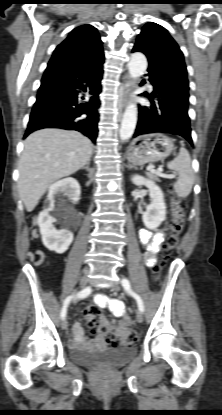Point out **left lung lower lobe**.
<instances>
[{
    "mask_svg": "<svg viewBox=\"0 0 222 415\" xmlns=\"http://www.w3.org/2000/svg\"><path fill=\"white\" fill-rule=\"evenodd\" d=\"M133 52L140 51L134 47ZM141 52V51H140ZM149 82L153 86L149 96L151 106L139 107V118L133 137L162 132L179 135L191 145L190 119L188 116L189 83L185 64L159 60L149 62Z\"/></svg>",
    "mask_w": 222,
    "mask_h": 415,
    "instance_id": "left-lung-lower-lobe-1",
    "label": "left lung lower lobe"
}]
</instances>
